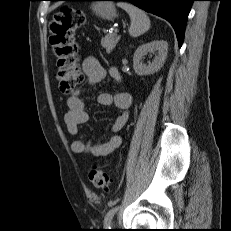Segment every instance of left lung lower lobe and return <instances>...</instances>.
Instances as JSON below:
<instances>
[{"instance_id": "left-lung-lower-lobe-1", "label": "left lung lower lobe", "mask_w": 231, "mask_h": 231, "mask_svg": "<svg viewBox=\"0 0 231 231\" xmlns=\"http://www.w3.org/2000/svg\"><path fill=\"white\" fill-rule=\"evenodd\" d=\"M59 1V0H52ZM92 1V0H87ZM127 1L146 12L166 19L174 28L179 47L184 39V32L188 14L194 0H111Z\"/></svg>"}]
</instances>
